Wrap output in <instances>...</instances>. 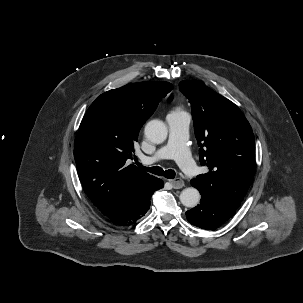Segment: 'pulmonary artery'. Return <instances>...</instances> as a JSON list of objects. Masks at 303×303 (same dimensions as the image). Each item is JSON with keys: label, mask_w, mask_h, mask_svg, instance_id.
Here are the masks:
<instances>
[{"label": "pulmonary artery", "mask_w": 303, "mask_h": 303, "mask_svg": "<svg viewBox=\"0 0 303 303\" xmlns=\"http://www.w3.org/2000/svg\"><path fill=\"white\" fill-rule=\"evenodd\" d=\"M166 120L169 129L167 143L159 148L154 155L143 157L142 161L146 164H152L163 159H174L186 174L197 175L198 166L191 157L187 146L189 115L184 112L170 113Z\"/></svg>", "instance_id": "pulmonary-artery-1"}]
</instances>
